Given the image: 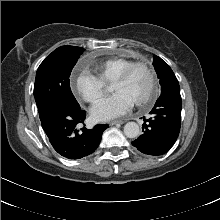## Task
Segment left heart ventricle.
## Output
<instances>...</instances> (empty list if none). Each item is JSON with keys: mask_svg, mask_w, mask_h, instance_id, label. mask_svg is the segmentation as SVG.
Returning a JSON list of instances; mask_svg holds the SVG:
<instances>
[{"mask_svg": "<svg viewBox=\"0 0 220 220\" xmlns=\"http://www.w3.org/2000/svg\"><path fill=\"white\" fill-rule=\"evenodd\" d=\"M113 90L116 93H126L137 102L144 98L149 90V76L144 69H137L126 82L114 83Z\"/></svg>", "mask_w": 220, "mask_h": 220, "instance_id": "b2bd125f", "label": "left heart ventricle"}]
</instances>
